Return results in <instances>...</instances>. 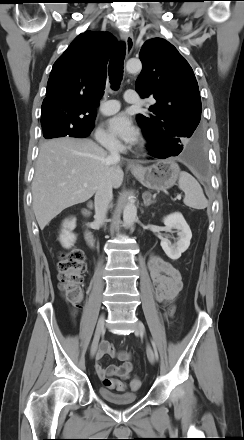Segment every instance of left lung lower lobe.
Wrapping results in <instances>:
<instances>
[{
    "instance_id": "1",
    "label": "left lung lower lobe",
    "mask_w": 244,
    "mask_h": 440,
    "mask_svg": "<svg viewBox=\"0 0 244 440\" xmlns=\"http://www.w3.org/2000/svg\"><path fill=\"white\" fill-rule=\"evenodd\" d=\"M147 140V150L154 158L165 159L171 156H178L181 153L182 158L195 170L203 173L206 170L205 158L201 149L199 139L189 145L182 146H166L154 135L144 132Z\"/></svg>"
}]
</instances>
